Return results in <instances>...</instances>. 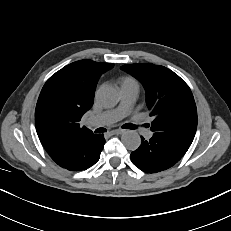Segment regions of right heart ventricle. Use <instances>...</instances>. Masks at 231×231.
I'll use <instances>...</instances> for the list:
<instances>
[{"mask_svg": "<svg viewBox=\"0 0 231 231\" xmlns=\"http://www.w3.org/2000/svg\"><path fill=\"white\" fill-rule=\"evenodd\" d=\"M120 85H121V90L125 88H137L139 90L138 81L131 76H126L122 78Z\"/></svg>", "mask_w": 231, "mask_h": 231, "instance_id": "obj_1", "label": "right heart ventricle"}]
</instances>
